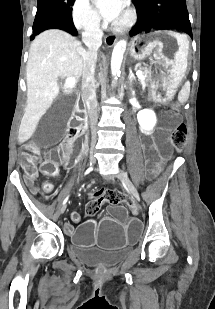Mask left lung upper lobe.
<instances>
[{"instance_id": "obj_1", "label": "left lung upper lobe", "mask_w": 215, "mask_h": 309, "mask_svg": "<svg viewBox=\"0 0 215 309\" xmlns=\"http://www.w3.org/2000/svg\"><path fill=\"white\" fill-rule=\"evenodd\" d=\"M138 15L131 36L149 29H176L192 38L185 0H133Z\"/></svg>"}]
</instances>
